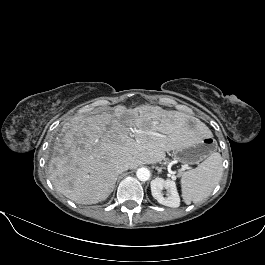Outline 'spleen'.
Returning <instances> with one entry per match:
<instances>
[{
  "label": "spleen",
  "instance_id": "spleen-1",
  "mask_svg": "<svg viewBox=\"0 0 265 265\" xmlns=\"http://www.w3.org/2000/svg\"><path fill=\"white\" fill-rule=\"evenodd\" d=\"M222 174V157L220 153L213 152L195 169L182 174L183 201L189 205L191 202L196 203L206 199L219 183Z\"/></svg>",
  "mask_w": 265,
  "mask_h": 265
}]
</instances>
